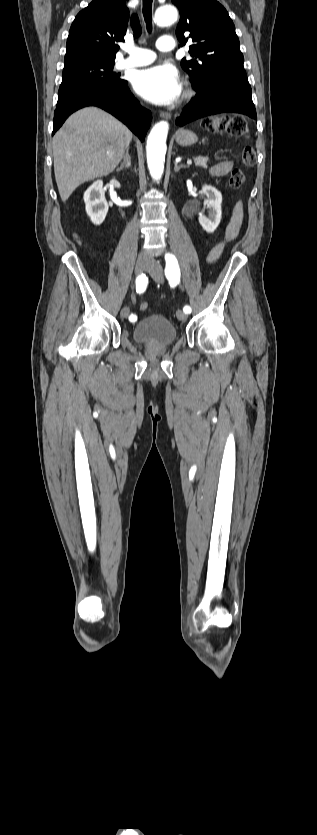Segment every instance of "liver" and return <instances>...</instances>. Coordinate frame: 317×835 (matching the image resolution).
Wrapping results in <instances>:
<instances>
[{
	"mask_svg": "<svg viewBox=\"0 0 317 835\" xmlns=\"http://www.w3.org/2000/svg\"><path fill=\"white\" fill-rule=\"evenodd\" d=\"M132 137L124 124L99 108L72 114L53 138L54 173L62 201L83 182L113 172Z\"/></svg>",
	"mask_w": 317,
	"mask_h": 835,
	"instance_id": "liver-1",
	"label": "liver"
}]
</instances>
